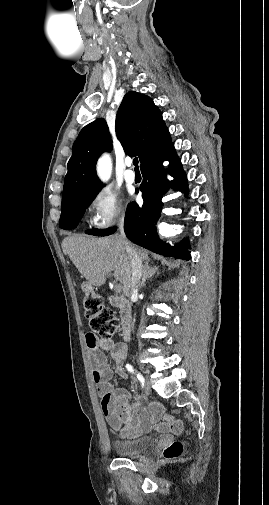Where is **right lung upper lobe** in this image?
<instances>
[{
  "label": "right lung upper lobe",
  "instance_id": "1",
  "mask_svg": "<svg viewBox=\"0 0 269 505\" xmlns=\"http://www.w3.org/2000/svg\"><path fill=\"white\" fill-rule=\"evenodd\" d=\"M115 129L125 153L139 156L140 167L171 142L158 107L151 98L135 91L124 96ZM111 148L112 141L104 119H96L80 131L67 165L62 202L80 192L101 187L95 170L96 161L101 153Z\"/></svg>",
  "mask_w": 269,
  "mask_h": 505
}]
</instances>
